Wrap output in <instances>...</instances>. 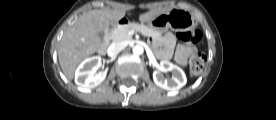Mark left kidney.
Returning a JSON list of instances; mask_svg holds the SVG:
<instances>
[{"mask_svg": "<svg viewBox=\"0 0 276 120\" xmlns=\"http://www.w3.org/2000/svg\"><path fill=\"white\" fill-rule=\"evenodd\" d=\"M160 67L166 71L172 72V78H164L163 74L160 71H154L153 80L157 86L171 92H176L187 83V78L184 71L177 65L163 60L160 62Z\"/></svg>", "mask_w": 276, "mask_h": 120, "instance_id": "obj_1", "label": "left kidney"}]
</instances>
